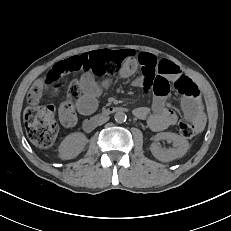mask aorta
<instances>
[{
    "instance_id": "obj_1",
    "label": "aorta",
    "mask_w": 231,
    "mask_h": 231,
    "mask_svg": "<svg viewBox=\"0 0 231 231\" xmlns=\"http://www.w3.org/2000/svg\"><path fill=\"white\" fill-rule=\"evenodd\" d=\"M114 119L117 123H123L126 121V114L123 111L115 113Z\"/></svg>"
}]
</instances>
